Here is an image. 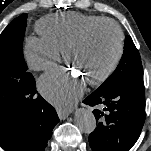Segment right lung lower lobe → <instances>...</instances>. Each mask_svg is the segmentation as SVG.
Wrapping results in <instances>:
<instances>
[{"instance_id":"1","label":"right lung lower lobe","mask_w":151,"mask_h":151,"mask_svg":"<svg viewBox=\"0 0 151 151\" xmlns=\"http://www.w3.org/2000/svg\"><path fill=\"white\" fill-rule=\"evenodd\" d=\"M6 92L17 93L15 135L6 151H44L59 122L55 109L37 94L34 77L26 72L18 80L0 75V99Z\"/></svg>"}]
</instances>
